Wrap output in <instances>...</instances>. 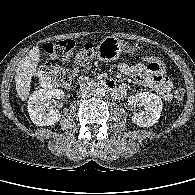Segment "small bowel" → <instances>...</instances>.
<instances>
[{
  "label": "small bowel",
  "instance_id": "obj_1",
  "mask_svg": "<svg viewBox=\"0 0 195 195\" xmlns=\"http://www.w3.org/2000/svg\"><path fill=\"white\" fill-rule=\"evenodd\" d=\"M118 71L127 76H132L135 82L141 86H146L154 90L162 100L170 101L172 99V83L167 77H158L148 73L142 63L128 65L120 63ZM126 94V87L120 86L113 96L120 98Z\"/></svg>",
  "mask_w": 195,
  "mask_h": 195
}]
</instances>
